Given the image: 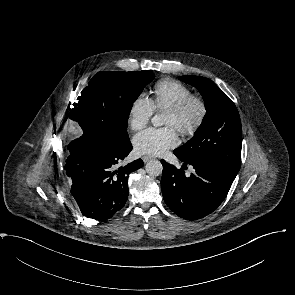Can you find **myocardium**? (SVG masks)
<instances>
[{
    "mask_svg": "<svg viewBox=\"0 0 295 295\" xmlns=\"http://www.w3.org/2000/svg\"><path fill=\"white\" fill-rule=\"evenodd\" d=\"M195 110L191 121H186L187 116ZM181 120L177 130L184 136L194 135L203 125L208 115L207 100L199 94H192L176 106L166 111Z\"/></svg>",
    "mask_w": 295,
    "mask_h": 295,
    "instance_id": "f54148a6",
    "label": "myocardium"
}]
</instances>
